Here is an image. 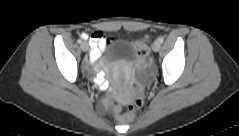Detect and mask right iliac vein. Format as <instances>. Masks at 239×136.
<instances>
[{"label":"right iliac vein","instance_id":"right-iliac-vein-1","mask_svg":"<svg viewBox=\"0 0 239 136\" xmlns=\"http://www.w3.org/2000/svg\"><path fill=\"white\" fill-rule=\"evenodd\" d=\"M81 49H82L84 52L88 51V50H89V45H88V43H87V42H82V43H81Z\"/></svg>","mask_w":239,"mask_h":136}]
</instances>
